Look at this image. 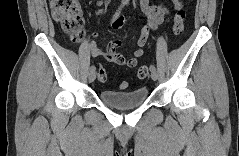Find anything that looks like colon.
<instances>
[{
  "instance_id": "1",
  "label": "colon",
  "mask_w": 239,
  "mask_h": 156,
  "mask_svg": "<svg viewBox=\"0 0 239 156\" xmlns=\"http://www.w3.org/2000/svg\"><path fill=\"white\" fill-rule=\"evenodd\" d=\"M51 10L54 19L59 23L61 30L67 34L71 41L79 42L84 36L83 32V11L81 5L76 0H52ZM186 12L183 7L176 10L174 16V33L179 35L184 29V20ZM137 75L140 79H144L149 75L146 66L138 68ZM98 78L100 81L107 79V71L104 67L98 70ZM121 90L128 88V82L122 81L119 84Z\"/></svg>"
}]
</instances>
